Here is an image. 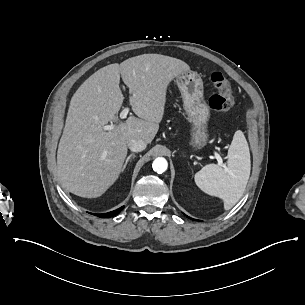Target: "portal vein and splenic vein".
Segmentation results:
<instances>
[{
	"label": "portal vein and splenic vein",
	"instance_id": "18ae733b",
	"mask_svg": "<svg viewBox=\"0 0 305 305\" xmlns=\"http://www.w3.org/2000/svg\"><path fill=\"white\" fill-rule=\"evenodd\" d=\"M129 111H130V107H129V106H126V107L122 110V112L120 113V117H121V118H125V117L127 116V114L129 113ZM111 127H112V125H106V126H102V129H103L104 131H107V130H110ZM215 158H216L217 161H218L217 164H218L219 166H221L222 163H223L222 157H220L219 155H216Z\"/></svg>",
	"mask_w": 305,
	"mask_h": 305
}]
</instances>
